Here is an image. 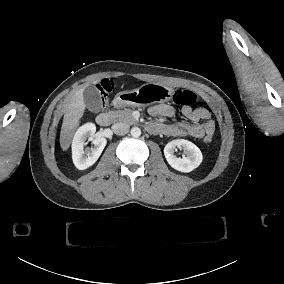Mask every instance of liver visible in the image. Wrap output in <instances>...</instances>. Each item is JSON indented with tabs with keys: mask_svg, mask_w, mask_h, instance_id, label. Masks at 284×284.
<instances>
[{
	"mask_svg": "<svg viewBox=\"0 0 284 284\" xmlns=\"http://www.w3.org/2000/svg\"><path fill=\"white\" fill-rule=\"evenodd\" d=\"M102 81L101 78L97 80H91L88 84L96 86ZM86 86H81L76 92H74L69 98H67L64 104L66 110L61 126L59 143L63 152H67L72 144L74 134L80 126L81 119L86 111V104L84 101V91Z\"/></svg>",
	"mask_w": 284,
	"mask_h": 284,
	"instance_id": "6515ba94",
	"label": "liver"
}]
</instances>
